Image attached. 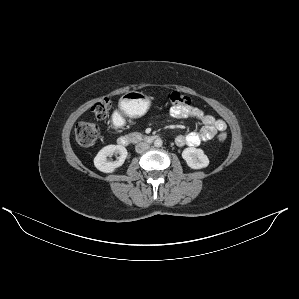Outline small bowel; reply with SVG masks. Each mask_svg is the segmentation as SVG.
I'll return each instance as SVG.
<instances>
[{
  "label": "small bowel",
  "instance_id": "obj_1",
  "mask_svg": "<svg viewBox=\"0 0 299 299\" xmlns=\"http://www.w3.org/2000/svg\"><path fill=\"white\" fill-rule=\"evenodd\" d=\"M170 115L176 119L194 118L202 123L199 131L177 136L175 142L180 147L199 146L202 142L212 139L218 132H224L227 127L224 120L215 119L212 115L191 105L171 107Z\"/></svg>",
  "mask_w": 299,
  "mask_h": 299
}]
</instances>
